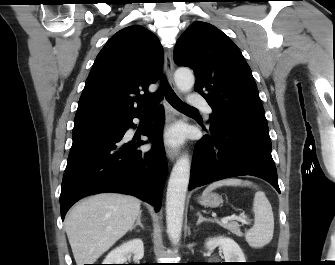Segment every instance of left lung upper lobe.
Listing matches in <instances>:
<instances>
[{
    "instance_id": "5c2ea615",
    "label": "left lung upper lobe",
    "mask_w": 335,
    "mask_h": 265,
    "mask_svg": "<svg viewBox=\"0 0 335 265\" xmlns=\"http://www.w3.org/2000/svg\"><path fill=\"white\" fill-rule=\"evenodd\" d=\"M174 60L194 71L195 91L213 110L211 125L221 121L269 137L251 69L227 35L209 23L194 22L178 39Z\"/></svg>"
}]
</instances>
